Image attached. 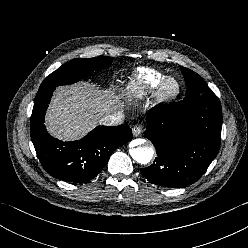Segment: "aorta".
<instances>
[{
  "label": "aorta",
  "instance_id": "1",
  "mask_svg": "<svg viewBox=\"0 0 248 248\" xmlns=\"http://www.w3.org/2000/svg\"><path fill=\"white\" fill-rule=\"evenodd\" d=\"M134 143L139 146L131 148L129 150L130 155L136 162L143 165L148 164L154 156L153 148L147 145L145 140L138 139Z\"/></svg>",
  "mask_w": 248,
  "mask_h": 248
}]
</instances>
